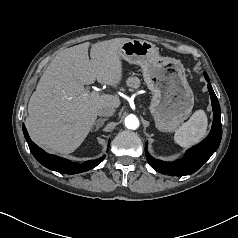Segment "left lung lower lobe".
Returning a JSON list of instances; mask_svg holds the SVG:
<instances>
[{"label":"left lung lower lobe","instance_id":"1","mask_svg":"<svg viewBox=\"0 0 238 238\" xmlns=\"http://www.w3.org/2000/svg\"><path fill=\"white\" fill-rule=\"evenodd\" d=\"M205 78L209 81L207 74H205ZM208 90L211 96L213 108V124L209 135L204 141L187 150L182 159L175 162H164L151 157L147 153L146 146L147 161L157 172L171 176L192 174L196 172L217 150L222 137L220 106L210 83H208Z\"/></svg>","mask_w":238,"mask_h":238}]
</instances>
